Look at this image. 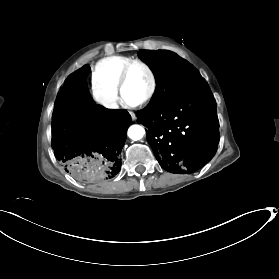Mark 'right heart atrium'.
I'll list each match as a JSON object with an SVG mask.
<instances>
[{"label": "right heart atrium", "instance_id": "obj_1", "mask_svg": "<svg viewBox=\"0 0 279 279\" xmlns=\"http://www.w3.org/2000/svg\"><path fill=\"white\" fill-rule=\"evenodd\" d=\"M92 96L97 105L106 113H114L119 108L118 96L101 84H93Z\"/></svg>", "mask_w": 279, "mask_h": 279}]
</instances>
